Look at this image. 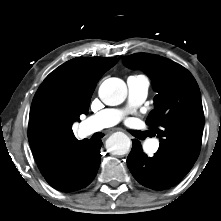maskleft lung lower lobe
Listing matches in <instances>:
<instances>
[{
	"instance_id": "0a47b994",
	"label": "left lung lower lobe",
	"mask_w": 221,
	"mask_h": 221,
	"mask_svg": "<svg viewBox=\"0 0 221 221\" xmlns=\"http://www.w3.org/2000/svg\"><path fill=\"white\" fill-rule=\"evenodd\" d=\"M133 147L127 158V166L134 178L142 185L154 189H168L182 180L176 171L158 154L148 157L143 153L140 142L132 140Z\"/></svg>"
}]
</instances>
